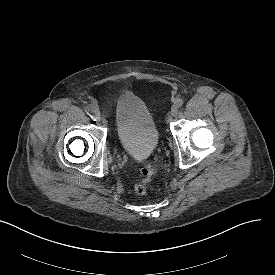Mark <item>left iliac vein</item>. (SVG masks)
Returning <instances> with one entry per match:
<instances>
[{"label":"left iliac vein","mask_w":275,"mask_h":275,"mask_svg":"<svg viewBox=\"0 0 275 275\" xmlns=\"http://www.w3.org/2000/svg\"><path fill=\"white\" fill-rule=\"evenodd\" d=\"M178 115V107L177 105H173L171 108V116L176 117Z\"/></svg>","instance_id":"4c4485c4"}]
</instances>
